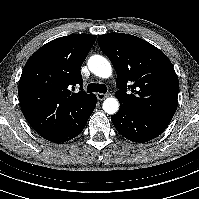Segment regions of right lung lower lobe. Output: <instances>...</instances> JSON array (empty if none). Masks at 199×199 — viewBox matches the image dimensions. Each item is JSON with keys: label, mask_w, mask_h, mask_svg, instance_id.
<instances>
[{"label": "right lung lower lobe", "mask_w": 199, "mask_h": 199, "mask_svg": "<svg viewBox=\"0 0 199 199\" xmlns=\"http://www.w3.org/2000/svg\"><path fill=\"white\" fill-rule=\"evenodd\" d=\"M96 103H97V98L95 96L87 112L84 113L83 117H81L77 122H75L71 126L66 127L58 132L45 134L41 136L51 142H57V143H61V142H65V141L73 139L74 137L78 136L84 129L90 115L92 114L96 106Z\"/></svg>", "instance_id": "obj_1"}]
</instances>
